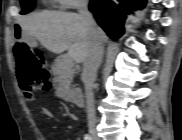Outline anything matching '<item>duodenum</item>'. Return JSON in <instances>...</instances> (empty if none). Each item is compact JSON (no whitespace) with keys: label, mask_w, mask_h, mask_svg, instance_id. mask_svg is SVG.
Returning a JSON list of instances; mask_svg holds the SVG:
<instances>
[{"label":"duodenum","mask_w":182,"mask_h":140,"mask_svg":"<svg viewBox=\"0 0 182 140\" xmlns=\"http://www.w3.org/2000/svg\"><path fill=\"white\" fill-rule=\"evenodd\" d=\"M69 100L75 105V106H83L84 104V99H83V96L80 92L74 90L72 91L70 97H69Z\"/></svg>","instance_id":"duodenum-1"}]
</instances>
